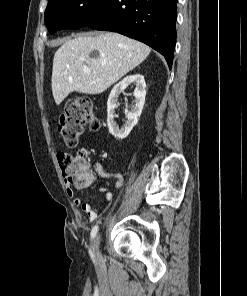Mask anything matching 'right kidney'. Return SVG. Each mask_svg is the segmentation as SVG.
Listing matches in <instances>:
<instances>
[{
	"label": "right kidney",
	"instance_id": "ca27d5eb",
	"mask_svg": "<svg viewBox=\"0 0 247 296\" xmlns=\"http://www.w3.org/2000/svg\"><path fill=\"white\" fill-rule=\"evenodd\" d=\"M131 83H134L136 85L133 93L135 97L134 105L132 106L130 111H128L127 109L125 110L127 120L124 126L119 129L117 123L114 121L115 109L118 107V97L120 93H122ZM145 96L146 83L144 80V76L138 73L125 77L122 81H120L113 87L107 101V124L109 132L115 138H126L133 127L137 124L138 117L142 113Z\"/></svg>",
	"mask_w": 247,
	"mask_h": 296
}]
</instances>
